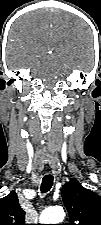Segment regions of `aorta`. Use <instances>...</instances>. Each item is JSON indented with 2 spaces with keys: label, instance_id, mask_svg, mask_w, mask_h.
I'll list each match as a JSON object with an SVG mask.
<instances>
[{
  "label": "aorta",
  "instance_id": "obj_1",
  "mask_svg": "<svg viewBox=\"0 0 101 225\" xmlns=\"http://www.w3.org/2000/svg\"><path fill=\"white\" fill-rule=\"evenodd\" d=\"M64 217L65 212L62 207H49L41 213L40 224H59Z\"/></svg>",
  "mask_w": 101,
  "mask_h": 225
}]
</instances>
